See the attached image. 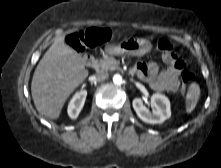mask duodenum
<instances>
[{"label": "duodenum", "mask_w": 221, "mask_h": 168, "mask_svg": "<svg viewBox=\"0 0 221 168\" xmlns=\"http://www.w3.org/2000/svg\"><path fill=\"white\" fill-rule=\"evenodd\" d=\"M84 63L87 67L93 68L96 66V59L93 55L87 54L84 56Z\"/></svg>", "instance_id": "1"}]
</instances>
